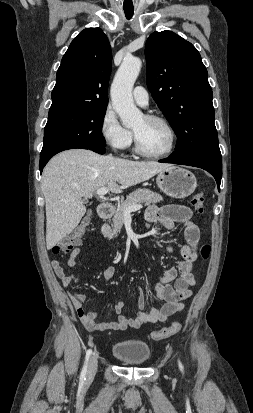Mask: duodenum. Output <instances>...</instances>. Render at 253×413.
<instances>
[{
	"label": "duodenum",
	"mask_w": 253,
	"mask_h": 413,
	"mask_svg": "<svg viewBox=\"0 0 253 413\" xmlns=\"http://www.w3.org/2000/svg\"><path fill=\"white\" fill-rule=\"evenodd\" d=\"M98 214L102 219H108L113 214V207L108 203H101L98 206Z\"/></svg>",
	"instance_id": "obj_1"
}]
</instances>
